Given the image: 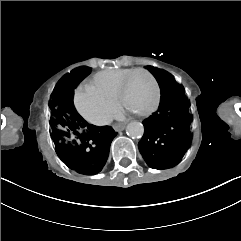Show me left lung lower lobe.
Here are the masks:
<instances>
[{
	"mask_svg": "<svg viewBox=\"0 0 241 241\" xmlns=\"http://www.w3.org/2000/svg\"><path fill=\"white\" fill-rule=\"evenodd\" d=\"M188 109L189 103L181 85L161 92L159 108L143 121L144 136L138 143L149 167L167 169L181 161L191 139Z\"/></svg>",
	"mask_w": 241,
	"mask_h": 241,
	"instance_id": "0a47b994",
	"label": "left lung lower lobe"
}]
</instances>
